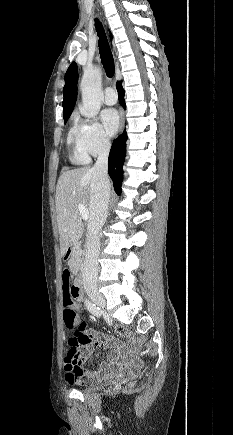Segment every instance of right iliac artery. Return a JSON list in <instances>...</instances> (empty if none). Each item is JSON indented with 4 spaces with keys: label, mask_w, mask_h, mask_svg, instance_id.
I'll return each mask as SVG.
<instances>
[{
    "label": "right iliac artery",
    "mask_w": 233,
    "mask_h": 435,
    "mask_svg": "<svg viewBox=\"0 0 233 435\" xmlns=\"http://www.w3.org/2000/svg\"><path fill=\"white\" fill-rule=\"evenodd\" d=\"M85 305L89 312H91L93 315L100 317L101 316V310L99 307H97L94 303H92L90 300H85Z\"/></svg>",
    "instance_id": "82829eb1"
}]
</instances>
